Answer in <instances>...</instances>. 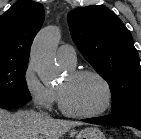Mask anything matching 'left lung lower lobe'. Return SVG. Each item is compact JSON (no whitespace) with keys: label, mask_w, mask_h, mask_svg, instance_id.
Wrapping results in <instances>:
<instances>
[{"label":"left lung lower lobe","mask_w":141,"mask_h":139,"mask_svg":"<svg viewBox=\"0 0 141 139\" xmlns=\"http://www.w3.org/2000/svg\"><path fill=\"white\" fill-rule=\"evenodd\" d=\"M84 122L102 125L131 126L141 130V106L132 107L120 113L98 118L83 119Z\"/></svg>","instance_id":"left-lung-lower-lobe-1"}]
</instances>
